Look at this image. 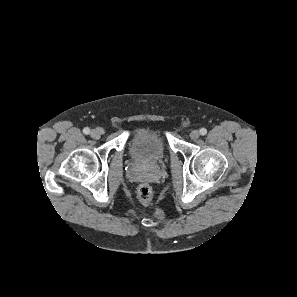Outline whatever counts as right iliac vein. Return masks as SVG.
Segmentation results:
<instances>
[{
	"label": "right iliac vein",
	"mask_w": 297,
	"mask_h": 297,
	"mask_svg": "<svg viewBox=\"0 0 297 297\" xmlns=\"http://www.w3.org/2000/svg\"><path fill=\"white\" fill-rule=\"evenodd\" d=\"M90 136L93 139H99L101 137V130L100 129H92L90 132Z\"/></svg>",
	"instance_id": "1"
}]
</instances>
